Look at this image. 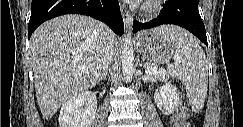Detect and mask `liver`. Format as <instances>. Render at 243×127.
<instances>
[{
  "instance_id": "1",
  "label": "liver",
  "mask_w": 243,
  "mask_h": 127,
  "mask_svg": "<svg viewBox=\"0 0 243 127\" xmlns=\"http://www.w3.org/2000/svg\"><path fill=\"white\" fill-rule=\"evenodd\" d=\"M108 40L114 44L116 37L107 27L76 14L54 18L35 30L29 52L36 98L45 119L70 98L96 85Z\"/></svg>"
}]
</instances>
